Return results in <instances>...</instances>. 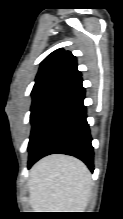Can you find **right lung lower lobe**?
I'll return each mask as SVG.
<instances>
[{"label": "right lung lower lobe", "instance_id": "1", "mask_svg": "<svg viewBox=\"0 0 123 219\" xmlns=\"http://www.w3.org/2000/svg\"><path fill=\"white\" fill-rule=\"evenodd\" d=\"M81 76L70 83L46 115L40 133L32 146L28 167L40 158L53 154L72 155L93 171V147Z\"/></svg>", "mask_w": 123, "mask_h": 219}]
</instances>
